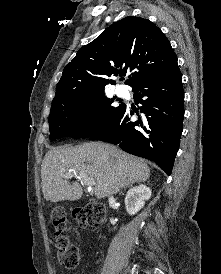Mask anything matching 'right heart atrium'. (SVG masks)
I'll use <instances>...</instances> for the list:
<instances>
[{
    "label": "right heart atrium",
    "instance_id": "1",
    "mask_svg": "<svg viewBox=\"0 0 221 274\" xmlns=\"http://www.w3.org/2000/svg\"><path fill=\"white\" fill-rule=\"evenodd\" d=\"M84 116H85V118H88L90 116L89 110L84 111Z\"/></svg>",
    "mask_w": 221,
    "mask_h": 274
}]
</instances>
